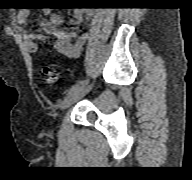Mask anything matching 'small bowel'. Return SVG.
<instances>
[{"mask_svg":"<svg viewBox=\"0 0 192 180\" xmlns=\"http://www.w3.org/2000/svg\"><path fill=\"white\" fill-rule=\"evenodd\" d=\"M46 13L49 15V19L42 23V29L45 35L23 31L22 36L27 50L31 53L37 52L38 42L45 43L48 40V36H53L55 38L54 50L57 54L71 59L78 58L87 40V34L66 32L61 28L62 19L58 15H50L48 11ZM84 16L91 18L93 11L91 9H74L73 18L75 23L81 22ZM28 17L29 11L27 9H21L17 14L18 24L22 26L27 25Z\"/></svg>","mask_w":192,"mask_h":180,"instance_id":"obj_1","label":"small bowel"}]
</instances>
